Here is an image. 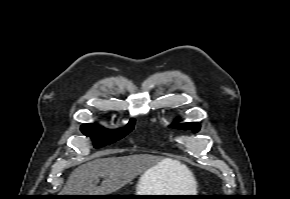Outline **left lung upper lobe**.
<instances>
[{
  "label": "left lung upper lobe",
  "mask_w": 290,
  "mask_h": 199,
  "mask_svg": "<svg viewBox=\"0 0 290 199\" xmlns=\"http://www.w3.org/2000/svg\"><path fill=\"white\" fill-rule=\"evenodd\" d=\"M173 126H176L178 128H181V129H191V130H194V131H199L200 129V125L198 123H195V122H191V123H184V124H181V125H173Z\"/></svg>",
  "instance_id": "obj_1"
}]
</instances>
